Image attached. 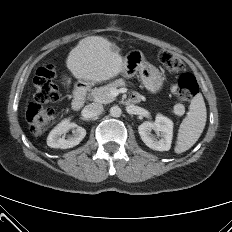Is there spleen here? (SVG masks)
<instances>
[{"label":"spleen","mask_w":232,"mask_h":232,"mask_svg":"<svg viewBox=\"0 0 232 232\" xmlns=\"http://www.w3.org/2000/svg\"><path fill=\"white\" fill-rule=\"evenodd\" d=\"M207 112L202 94H197L189 106L187 116L180 124L175 153L180 154L190 149L201 136L206 124Z\"/></svg>","instance_id":"1"}]
</instances>
